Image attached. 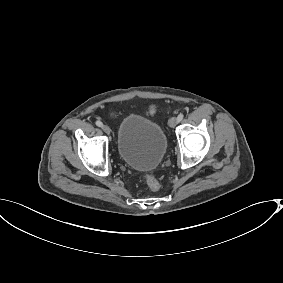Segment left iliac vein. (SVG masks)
<instances>
[{
  "mask_svg": "<svg viewBox=\"0 0 283 283\" xmlns=\"http://www.w3.org/2000/svg\"><path fill=\"white\" fill-rule=\"evenodd\" d=\"M178 124V120L176 117H172L170 120H169V126L170 127H175L176 125Z\"/></svg>",
  "mask_w": 283,
  "mask_h": 283,
  "instance_id": "1",
  "label": "left iliac vein"
}]
</instances>
